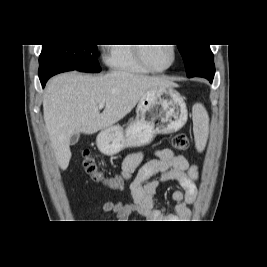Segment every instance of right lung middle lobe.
Instances as JSON below:
<instances>
[{
	"instance_id": "1",
	"label": "right lung middle lobe",
	"mask_w": 267,
	"mask_h": 267,
	"mask_svg": "<svg viewBox=\"0 0 267 267\" xmlns=\"http://www.w3.org/2000/svg\"><path fill=\"white\" fill-rule=\"evenodd\" d=\"M57 62L81 72H100L96 45H43L39 63Z\"/></svg>"
}]
</instances>
